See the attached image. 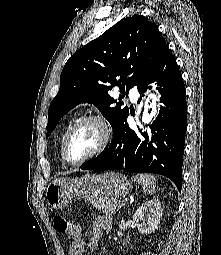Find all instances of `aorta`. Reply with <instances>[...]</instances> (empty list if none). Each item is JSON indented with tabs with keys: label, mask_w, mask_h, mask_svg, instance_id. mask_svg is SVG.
I'll use <instances>...</instances> for the list:
<instances>
[{
	"label": "aorta",
	"mask_w": 221,
	"mask_h": 255,
	"mask_svg": "<svg viewBox=\"0 0 221 255\" xmlns=\"http://www.w3.org/2000/svg\"><path fill=\"white\" fill-rule=\"evenodd\" d=\"M157 105H158L157 96L156 95L150 96V98H148V101L145 103L146 108L145 117L148 120H151L153 118ZM148 109H150V111H148Z\"/></svg>",
	"instance_id": "aorta-1"
}]
</instances>
